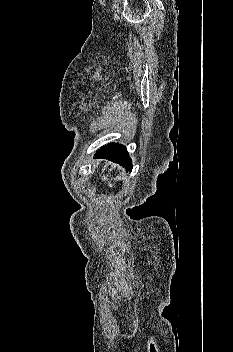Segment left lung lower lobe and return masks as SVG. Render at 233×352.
Returning a JSON list of instances; mask_svg holds the SVG:
<instances>
[{
  "instance_id": "0a47b994",
  "label": "left lung lower lobe",
  "mask_w": 233,
  "mask_h": 352,
  "mask_svg": "<svg viewBox=\"0 0 233 352\" xmlns=\"http://www.w3.org/2000/svg\"><path fill=\"white\" fill-rule=\"evenodd\" d=\"M96 157L105 158L118 163L127 170H132V162L125 146L118 143L107 144L96 152Z\"/></svg>"
}]
</instances>
